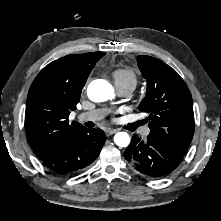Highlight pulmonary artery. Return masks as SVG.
<instances>
[{
    "label": "pulmonary artery",
    "instance_id": "obj_1",
    "mask_svg": "<svg viewBox=\"0 0 221 221\" xmlns=\"http://www.w3.org/2000/svg\"><path fill=\"white\" fill-rule=\"evenodd\" d=\"M118 93L121 96H129L133 89L129 87H118ZM107 111L105 109H95L87 112H83L78 115V121L80 122H96L101 120L105 115ZM149 131V129H146V133Z\"/></svg>",
    "mask_w": 221,
    "mask_h": 221
}]
</instances>
